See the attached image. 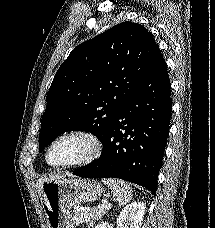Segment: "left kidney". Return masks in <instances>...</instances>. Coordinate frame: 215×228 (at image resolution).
Masks as SVG:
<instances>
[{"instance_id":"left-kidney-1","label":"left kidney","mask_w":215,"mask_h":228,"mask_svg":"<svg viewBox=\"0 0 215 228\" xmlns=\"http://www.w3.org/2000/svg\"><path fill=\"white\" fill-rule=\"evenodd\" d=\"M146 208L144 202H132L125 206L117 218V228H141Z\"/></svg>"}]
</instances>
